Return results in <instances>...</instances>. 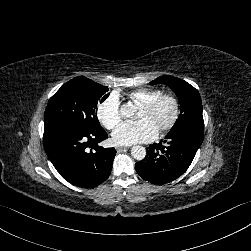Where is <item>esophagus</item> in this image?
<instances>
[{
	"instance_id": "obj_1",
	"label": "esophagus",
	"mask_w": 251,
	"mask_h": 251,
	"mask_svg": "<svg viewBox=\"0 0 251 251\" xmlns=\"http://www.w3.org/2000/svg\"><path fill=\"white\" fill-rule=\"evenodd\" d=\"M123 149H124L123 146H117V147H116V151H117V152H121Z\"/></svg>"
}]
</instances>
